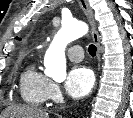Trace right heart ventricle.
Segmentation results:
<instances>
[{
	"instance_id": "e07e8e85",
	"label": "right heart ventricle",
	"mask_w": 133,
	"mask_h": 118,
	"mask_svg": "<svg viewBox=\"0 0 133 118\" xmlns=\"http://www.w3.org/2000/svg\"><path fill=\"white\" fill-rule=\"evenodd\" d=\"M50 79L41 73L34 63L29 64L22 72L19 81L20 95L24 102L40 106L48 99Z\"/></svg>"
}]
</instances>
